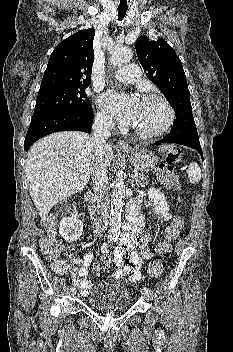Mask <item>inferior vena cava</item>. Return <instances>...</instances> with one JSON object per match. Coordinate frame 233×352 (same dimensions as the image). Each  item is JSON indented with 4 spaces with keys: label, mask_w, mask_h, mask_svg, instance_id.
I'll use <instances>...</instances> for the list:
<instances>
[{
    "label": "inferior vena cava",
    "mask_w": 233,
    "mask_h": 352,
    "mask_svg": "<svg viewBox=\"0 0 233 352\" xmlns=\"http://www.w3.org/2000/svg\"><path fill=\"white\" fill-rule=\"evenodd\" d=\"M114 124L109 117L98 114L92 125L95 157L92 164L91 176L94 183L95 199L97 201V218L94 220L96 235L102 234L106 229L109 218L108 177L107 166L104 160V147L111 136Z\"/></svg>",
    "instance_id": "obj_1"
}]
</instances>
